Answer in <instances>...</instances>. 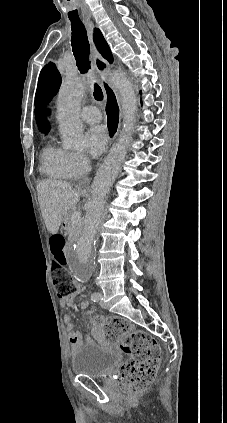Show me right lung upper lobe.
Wrapping results in <instances>:
<instances>
[{
  "instance_id": "right-lung-upper-lobe-1",
  "label": "right lung upper lobe",
  "mask_w": 227,
  "mask_h": 423,
  "mask_svg": "<svg viewBox=\"0 0 227 423\" xmlns=\"http://www.w3.org/2000/svg\"><path fill=\"white\" fill-rule=\"evenodd\" d=\"M94 42L101 53V55L109 61L113 62V56L110 51V48L102 36L101 32L96 29L94 33ZM61 84V76L58 70L55 67V64L49 63L46 65L40 72L37 91L35 95V105H36V118L40 121L41 111L45 105L53 98V96L58 92V89ZM41 130L44 132L48 131V125H42Z\"/></svg>"
}]
</instances>
